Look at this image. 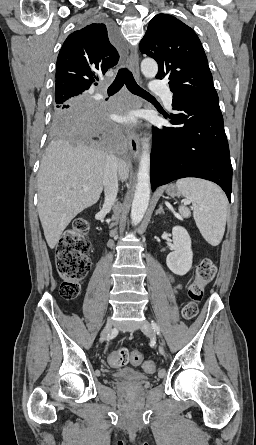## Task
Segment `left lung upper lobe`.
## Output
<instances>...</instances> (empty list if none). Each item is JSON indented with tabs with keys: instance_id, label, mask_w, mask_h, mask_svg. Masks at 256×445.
I'll list each match as a JSON object with an SVG mask.
<instances>
[{
	"instance_id": "5c2ea615",
	"label": "left lung upper lobe",
	"mask_w": 256,
	"mask_h": 445,
	"mask_svg": "<svg viewBox=\"0 0 256 445\" xmlns=\"http://www.w3.org/2000/svg\"><path fill=\"white\" fill-rule=\"evenodd\" d=\"M140 51L154 58L158 79L168 78L174 96L219 104L202 44L186 24L168 14L149 23Z\"/></svg>"
}]
</instances>
